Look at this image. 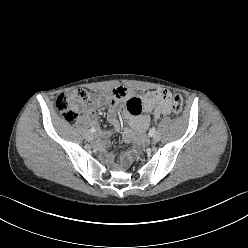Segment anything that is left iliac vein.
<instances>
[{"label":"left iliac vein","instance_id":"1","mask_svg":"<svg viewBox=\"0 0 248 248\" xmlns=\"http://www.w3.org/2000/svg\"><path fill=\"white\" fill-rule=\"evenodd\" d=\"M161 136H160V133L156 132L154 135H153V141L154 142H158L160 140Z\"/></svg>","mask_w":248,"mask_h":248}]
</instances>
